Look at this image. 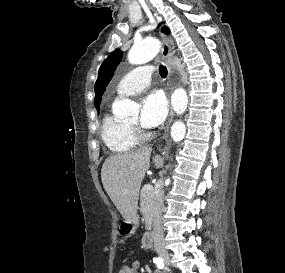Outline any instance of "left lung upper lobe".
I'll list each match as a JSON object with an SVG mask.
<instances>
[{
  "label": "left lung upper lobe",
  "instance_id": "left-lung-upper-lobe-1",
  "mask_svg": "<svg viewBox=\"0 0 285 273\" xmlns=\"http://www.w3.org/2000/svg\"><path fill=\"white\" fill-rule=\"evenodd\" d=\"M162 30L166 34L169 33L168 28L163 27ZM121 59L122 52L120 50H115L107 57V59L104 61V63L99 69L98 78L95 83V107L97 110L99 109V105L105 88L111 80L113 73L117 65L120 63Z\"/></svg>",
  "mask_w": 285,
  "mask_h": 273
}]
</instances>
